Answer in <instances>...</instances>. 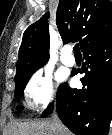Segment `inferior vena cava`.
<instances>
[{"instance_id":"1","label":"inferior vena cava","mask_w":112,"mask_h":135,"mask_svg":"<svg viewBox=\"0 0 112 135\" xmlns=\"http://www.w3.org/2000/svg\"><path fill=\"white\" fill-rule=\"evenodd\" d=\"M52 125L57 131H59L61 129L62 124H61V122L58 118V115L56 113L53 114ZM56 135H57V133H56Z\"/></svg>"}]
</instances>
